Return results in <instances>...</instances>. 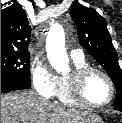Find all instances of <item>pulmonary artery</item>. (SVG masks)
<instances>
[{
    "label": "pulmonary artery",
    "instance_id": "e3ab8cb5",
    "mask_svg": "<svg viewBox=\"0 0 122 123\" xmlns=\"http://www.w3.org/2000/svg\"><path fill=\"white\" fill-rule=\"evenodd\" d=\"M70 56L72 59H80L84 57V54L81 49H72L70 51Z\"/></svg>",
    "mask_w": 122,
    "mask_h": 123
}]
</instances>
